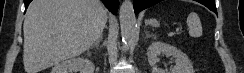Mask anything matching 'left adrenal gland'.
Returning <instances> with one entry per match:
<instances>
[{"label": "left adrenal gland", "mask_w": 244, "mask_h": 73, "mask_svg": "<svg viewBox=\"0 0 244 73\" xmlns=\"http://www.w3.org/2000/svg\"><path fill=\"white\" fill-rule=\"evenodd\" d=\"M145 35H146V38H149V37L155 38V35L154 34H149L148 31H145Z\"/></svg>", "instance_id": "1"}]
</instances>
